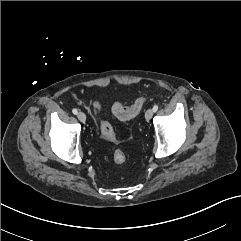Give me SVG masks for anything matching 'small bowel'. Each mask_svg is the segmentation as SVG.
Masks as SVG:
<instances>
[{"label": "small bowel", "mask_w": 241, "mask_h": 241, "mask_svg": "<svg viewBox=\"0 0 241 241\" xmlns=\"http://www.w3.org/2000/svg\"><path fill=\"white\" fill-rule=\"evenodd\" d=\"M92 107H93L95 112H98L101 109V105L97 101L93 102Z\"/></svg>", "instance_id": "c3829d8e"}]
</instances>
